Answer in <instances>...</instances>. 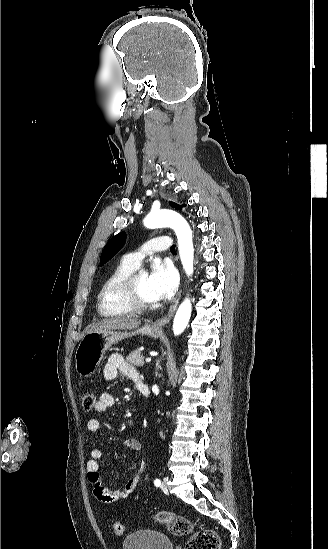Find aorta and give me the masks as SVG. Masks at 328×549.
<instances>
[{
    "mask_svg": "<svg viewBox=\"0 0 328 549\" xmlns=\"http://www.w3.org/2000/svg\"><path fill=\"white\" fill-rule=\"evenodd\" d=\"M144 225L150 229L170 227L175 231L183 268L186 274L191 276L193 274L194 247L192 231L187 221L173 210L162 209L148 214L144 219ZM191 310V301L186 298L179 306L173 321L175 336L180 335L185 330L191 316Z\"/></svg>",
    "mask_w": 328,
    "mask_h": 549,
    "instance_id": "762f6f07",
    "label": "aorta"
}]
</instances>
